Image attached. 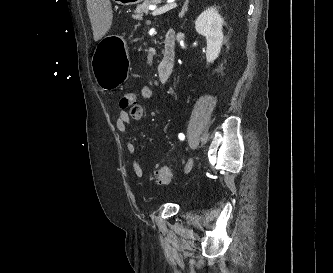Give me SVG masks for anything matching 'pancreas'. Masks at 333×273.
<instances>
[{"instance_id": "1", "label": "pancreas", "mask_w": 333, "mask_h": 273, "mask_svg": "<svg viewBox=\"0 0 333 273\" xmlns=\"http://www.w3.org/2000/svg\"><path fill=\"white\" fill-rule=\"evenodd\" d=\"M160 2V0H145L143 4L139 5L134 11L133 19L141 21L143 19L144 14H148L149 5Z\"/></svg>"}]
</instances>
